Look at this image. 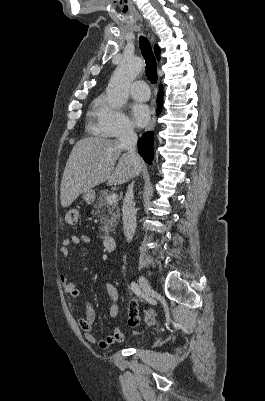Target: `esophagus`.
I'll return each instance as SVG.
<instances>
[{
    "label": "esophagus",
    "mask_w": 265,
    "mask_h": 401,
    "mask_svg": "<svg viewBox=\"0 0 265 401\" xmlns=\"http://www.w3.org/2000/svg\"><path fill=\"white\" fill-rule=\"evenodd\" d=\"M155 124V114H153L150 122L148 123L147 127L145 128V131L151 130Z\"/></svg>",
    "instance_id": "1"
}]
</instances>
